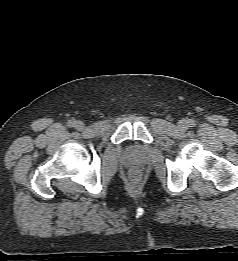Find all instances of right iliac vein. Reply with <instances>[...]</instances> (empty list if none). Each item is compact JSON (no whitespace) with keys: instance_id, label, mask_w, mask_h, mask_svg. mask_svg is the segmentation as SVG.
Wrapping results in <instances>:
<instances>
[{"instance_id":"63e3f726","label":"right iliac vein","mask_w":238,"mask_h":261,"mask_svg":"<svg viewBox=\"0 0 238 261\" xmlns=\"http://www.w3.org/2000/svg\"><path fill=\"white\" fill-rule=\"evenodd\" d=\"M74 127L77 129V130H83L84 127H85V124L82 122V121H75V124H74Z\"/></svg>"}]
</instances>
